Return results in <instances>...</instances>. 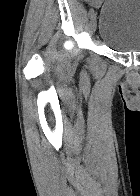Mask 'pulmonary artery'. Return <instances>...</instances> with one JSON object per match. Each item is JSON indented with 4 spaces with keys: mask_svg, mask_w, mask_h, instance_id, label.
Wrapping results in <instances>:
<instances>
[{
    "mask_svg": "<svg viewBox=\"0 0 140 196\" xmlns=\"http://www.w3.org/2000/svg\"><path fill=\"white\" fill-rule=\"evenodd\" d=\"M55 192H71V191H55Z\"/></svg>",
    "mask_w": 140,
    "mask_h": 196,
    "instance_id": "obj_1",
    "label": "pulmonary artery"
}]
</instances>
